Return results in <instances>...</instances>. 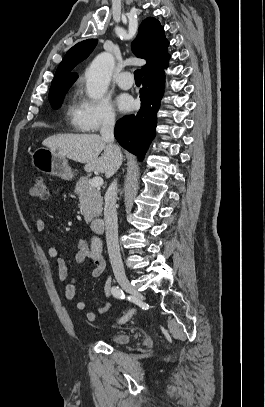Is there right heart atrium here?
<instances>
[{
	"mask_svg": "<svg viewBox=\"0 0 265 407\" xmlns=\"http://www.w3.org/2000/svg\"><path fill=\"white\" fill-rule=\"evenodd\" d=\"M78 122L87 131L97 132L116 123V113L106 99L82 97L78 104Z\"/></svg>",
	"mask_w": 265,
	"mask_h": 407,
	"instance_id": "d8ad5b80",
	"label": "right heart atrium"
}]
</instances>
